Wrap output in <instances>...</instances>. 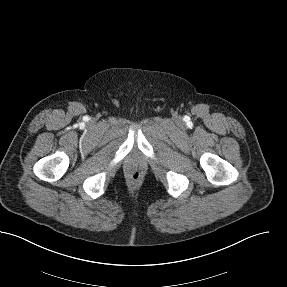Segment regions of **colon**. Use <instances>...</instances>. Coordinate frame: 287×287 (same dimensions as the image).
<instances>
[{
  "label": "colon",
  "instance_id": "obj_1",
  "mask_svg": "<svg viewBox=\"0 0 287 287\" xmlns=\"http://www.w3.org/2000/svg\"><path fill=\"white\" fill-rule=\"evenodd\" d=\"M131 176L135 179L139 178L140 172L138 170H134L131 172Z\"/></svg>",
  "mask_w": 287,
  "mask_h": 287
}]
</instances>
